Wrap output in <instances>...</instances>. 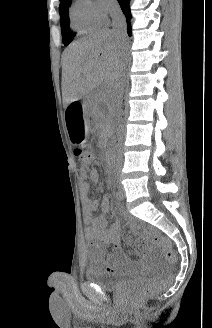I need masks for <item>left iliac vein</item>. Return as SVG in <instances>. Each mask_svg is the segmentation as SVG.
<instances>
[{
  "label": "left iliac vein",
  "mask_w": 212,
  "mask_h": 328,
  "mask_svg": "<svg viewBox=\"0 0 212 328\" xmlns=\"http://www.w3.org/2000/svg\"><path fill=\"white\" fill-rule=\"evenodd\" d=\"M120 190H121V193H122V195H123V194H124V190H123V188L121 187Z\"/></svg>",
  "instance_id": "left-iliac-vein-1"
}]
</instances>
